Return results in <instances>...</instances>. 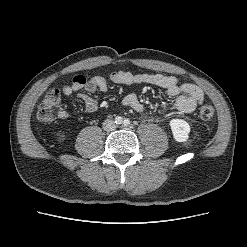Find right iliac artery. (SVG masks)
<instances>
[{
    "label": "right iliac artery",
    "instance_id": "right-iliac-artery-1",
    "mask_svg": "<svg viewBox=\"0 0 247 247\" xmlns=\"http://www.w3.org/2000/svg\"><path fill=\"white\" fill-rule=\"evenodd\" d=\"M115 123L116 124H121L122 123V117L118 116L115 118Z\"/></svg>",
    "mask_w": 247,
    "mask_h": 247
}]
</instances>
